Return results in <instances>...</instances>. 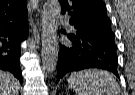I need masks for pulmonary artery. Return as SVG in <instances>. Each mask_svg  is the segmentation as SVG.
<instances>
[{
    "label": "pulmonary artery",
    "instance_id": "1",
    "mask_svg": "<svg viewBox=\"0 0 135 95\" xmlns=\"http://www.w3.org/2000/svg\"><path fill=\"white\" fill-rule=\"evenodd\" d=\"M59 22L66 24L67 20L65 19V17H62V18H60Z\"/></svg>",
    "mask_w": 135,
    "mask_h": 95
}]
</instances>
